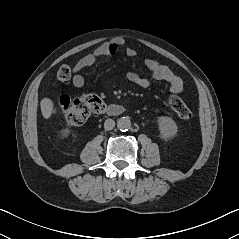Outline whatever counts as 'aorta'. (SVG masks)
<instances>
[{"mask_svg":"<svg viewBox=\"0 0 239 239\" xmlns=\"http://www.w3.org/2000/svg\"><path fill=\"white\" fill-rule=\"evenodd\" d=\"M117 127L120 131H128L131 128V121L128 117H121L117 121Z\"/></svg>","mask_w":239,"mask_h":239,"instance_id":"762f6f07","label":"aorta"}]
</instances>
